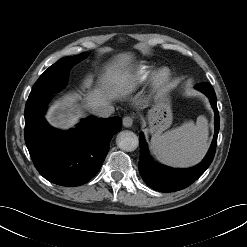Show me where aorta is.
<instances>
[{"label": "aorta", "mask_w": 247, "mask_h": 247, "mask_svg": "<svg viewBox=\"0 0 247 247\" xmlns=\"http://www.w3.org/2000/svg\"><path fill=\"white\" fill-rule=\"evenodd\" d=\"M116 143L121 150L131 152L138 147L139 140L134 132L126 130L117 135Z\"/></svg>", "instance_id": "762f6f07"}]
</instances>
